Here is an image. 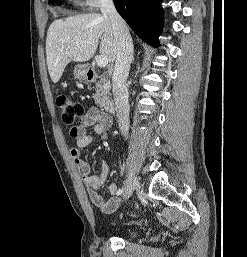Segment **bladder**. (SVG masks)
Listing matches in <instances>:
<instances>
[{
  "instance_id": "31cf9c89",
  "label": "bladder",
  "mask_w": 247,
  "mask_h": 257,
  "mask_svg": "<svg viewBox=\"0 0 247 257\" xmlns=\"http://www.w3.org/2000/svg\"><path fill=\"white\" fill-rule=\"evenodd\" d=\"M137 234H138V231L136 229H131V230L126 231V235L129 237H134Z\"/></svg>"
}]
</instances>
